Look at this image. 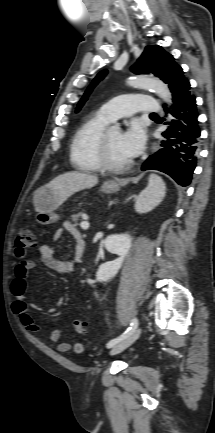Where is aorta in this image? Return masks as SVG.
<instances>
[{"instance_id": "1", "label": "aorta", "mask_w": 215, "mask_h": 433, "mask_svg": "<svg viewBox=\"0 0 215 433\" xmlns=\"http://www.w3.org/2000/svg\"><path fill=\"white\" fill-rule=\"evenodd\" d=\"M128 83L129 85L136 88L153 90L166 103L169 104L171 102V94L168 86L157 78H153L147 75H139L131 78ZM114 128L117 129L119 128V126L115 125Z\"/></svg>"}]
</instances>
